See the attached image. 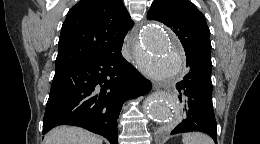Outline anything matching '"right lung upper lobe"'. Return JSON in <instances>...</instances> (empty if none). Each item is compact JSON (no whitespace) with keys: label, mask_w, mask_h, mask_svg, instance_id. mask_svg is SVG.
Listing matches in <instances>:
<instances>
[{"label":"right lung upper lobe","mask_w":260,"mask_h":144,"mask_svg":"<svg viewBox=\"0 0 260 144\" xmlns=\"http://www.w3.org/2000/svg\"><path fill=\"white\" fill-rule=\"evenodd\" d=\"M133 21L122 0H81L62 25L55 68L121 51Z\"/></svg>","instance_id":"obj_1"}]
</instances>
